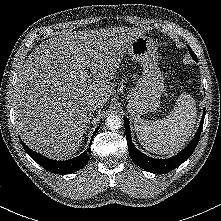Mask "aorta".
I'll return each instance as SVG.
<instances>
[{
  "label": "aorta",
  "mask_w": 221,
  "mask_h": 221,
  "mask_svg": "<svg viewBox=\"0 0 221 221\" xmlns=\"http://www.w3.org/2000/svg\"><path fill=\"white\" fill-rule=\"evenodd\" d=\"M105 124L107 128H109L110 130H116V129H119L123 123L119 115L110 114L109 116H107L105 120Z\"/></svg>",
  "instance_id": "aorta-1"
}]
</instances>
